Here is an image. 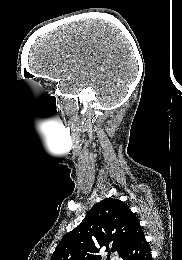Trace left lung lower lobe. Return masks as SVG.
Wrapping results in <instances>:
<instances>
[{"label":"left lung lower lobe","mask_w":182,"mask_h":260,"mask_svg":"<svg viewBox=\"0 0 182 260\" xmlns=\"http://www.w3.org/2000/svg\"><path fill=\"white\" fill-rule=\"evenodd\" d=\"M120 257L123 260H152L150 248L141 226L134 230Z\"/></svg>","instance_id":"1"}]
</instances>
